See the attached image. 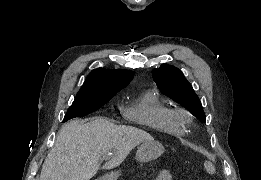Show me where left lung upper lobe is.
I'll use <instances>...</instances> for the list:
<instances>
[{
    "label": "left lung upper lobe",
    "instance_id": "obj_1",
    "mask_svg": "<svg viewBox=\"0 0 261 180\" xmlns=\"http://www.w3.org/2000/svg\"><path fill=\"white\" fill-rule=\"evenodd\" d=\"M152 75L158 88L167 96L181 104L198 119H205L198 96L179 69L163 64L159 69H154Z\"/></svg>",
    "mask_w": 261,
    "mask_h": 180
}]
</instances>
